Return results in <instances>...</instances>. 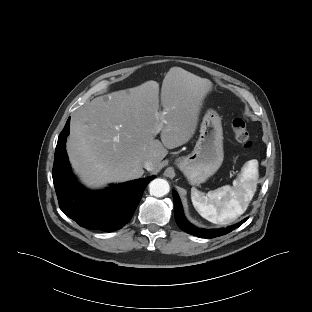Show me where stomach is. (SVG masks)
Wrapping results in <instances>:
<instances>
[{"instance_id": "0dacf381", "label": "stomach", "mask_w": 312, "mask_h": 312, "mask_svg": "<svg viewBox=\"0 0 312 312\" xmlns=\"http://www.w3.org/2000/svg\"><path fill=\"white\" fill-rule=\"evenodd\" d=\"M223 129L219 114L208 109L200 125V136L193 151L175 160L176 166L192 185H199L222 165Z\"/></svg>"}]
</instances>
